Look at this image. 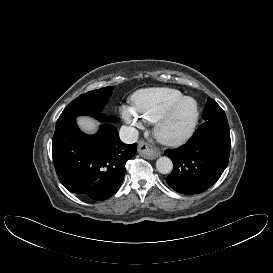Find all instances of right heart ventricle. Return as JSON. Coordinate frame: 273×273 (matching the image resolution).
Here are the masks:
<instances>
[{"instance_id":"e07e8e85","label":"right heart ventricle","mask_w":273,"mask_h":273,"mask_svg":"<svg viewBox=\"0 0 273 273\" xmlns=\"http://www.w3.org/2000/svg\"><path fill=\"white\" fill-rule=\"evenodd\" d=\"M184 97L179 90L158 87L136 91L132 97V106L145 122L154 123L160 114L173 102Z\"/></svg>"}]
</instances>
